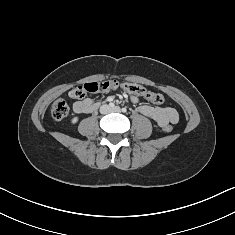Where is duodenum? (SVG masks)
Returning <instances> with one entry per match:
<instances>
[{"label":"duodenum","mask_w":235,"mask_h":235,"mask_svg":"<svg viewBox=\"0 0 235 235\" xmlns=\"http://www.w3.org/2000/svg\"><path fill=\"white\" fill-rule=\"evenodd\" d=\"M98 108V105H93L90 109L91 112L95 111Z\"/></svg>","instance_id":"duodenum-1"}]
</instances>
